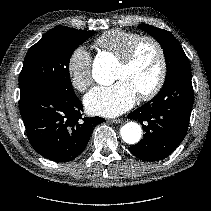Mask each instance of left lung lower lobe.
<instances>
[{"mask_svg": "<svg viewBox=\"0 0 211 211\" xmlns=\"http://www.w3.org/2000/svg\"><path fill=\"white\" fill-rule=\"evenodd\" d=\"M193 99L191 70L167 78L152 100L128 115L138 120L145 131L143 139L129 148L130 152L144 161L169 156L187 133Z\"/></svg>", "mask_w": 211, "mask_h": 211, "instance_id": "1", "label": "left lung lower lobe"}]
</instances>
